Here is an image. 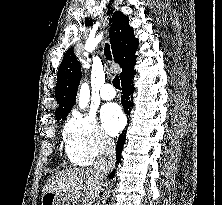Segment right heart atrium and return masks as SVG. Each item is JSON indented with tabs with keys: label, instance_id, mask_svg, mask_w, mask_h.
I'll list each match as a JSON object with an SVG mask.
<instances>
[{
	"label": "right heart atrium",
	"instance_id": "right-heart-atrium-1",
	"mask_svg": "<svg viewBox=\"0 0 222 205\" xmlns=\"http://www.w3.org/2000/svg\"><path fill=\"white\" fill-rule=\"evenodd\" d=\"M66 152L79 165H91L113 150L114 142L92 115L72 116L64 131Z\"/></svg>",
	"mask_w": 222,
	"mask_h": 205
}]
</instances>
